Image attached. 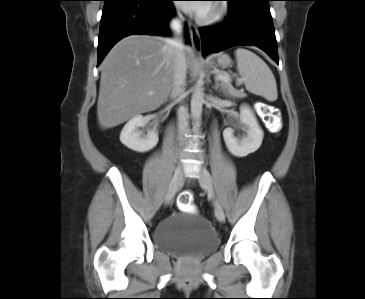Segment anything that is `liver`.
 I'll list each match as a JSON object with an SVG mask.
<instances>
[{
	"instance_id": "6515ba94",
	"label": "liver",
	"mask_w": 365,
	"mask_h": 299,
	"mask_svg": "<svg viewBox=\"0 0 365 299\" xmlns=\"http://www.w3.org/2000/svg\"><path fill=\"white\" fill-rule=\"evenodd\" d=\"M186 65L193 52L184 48ZM175 49L169 39L131 35L119 41L101 64L97 118L102 128H112L168 100L173 86ZM153 92V95H149Z\"/></svg>"
}]
</instances>
